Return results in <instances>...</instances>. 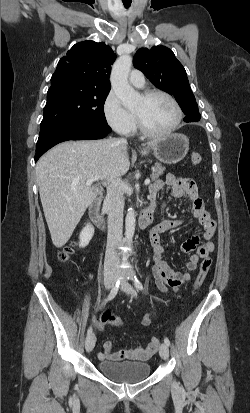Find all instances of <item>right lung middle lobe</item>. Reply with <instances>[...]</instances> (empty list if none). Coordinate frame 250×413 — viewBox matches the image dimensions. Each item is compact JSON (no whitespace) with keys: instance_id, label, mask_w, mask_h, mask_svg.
<instances>
[{"instance_id":"obj_1","label":"right lung middle lobe","mask_w":250,"mask_h":413,"mask_svg":"<svg viewBox=\"0 0 250 413\" xmlns=\"http://www.w3.org/2000/svg\"><path fill=\"white\" fill-rule=\"evenodd\" d=\"M108 93L109 90L86 89L77 85L48 90L40 134L73 122L107 124L104 103Z\"/></svg>"}]
</instances>
